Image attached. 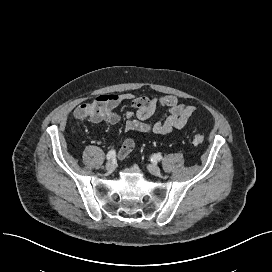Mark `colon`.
Segmentation results:
<instances>
[{"instance_id":"colon-1","label":"colon","mask_w":272,"mask_h":272,"mask_svg":"<svg viewBox=\"0 0 272 272\" xmlns=\"http://www.w3.org/2000/svg\"><path fill=\"white\" fill-rule=\"evenodd\" d=\"M203 142H204V137H203V135H201V134H196V135H194L193 138H192V143H193L194 145H200V144H202Z\"/></svg>"}]
</instances>
